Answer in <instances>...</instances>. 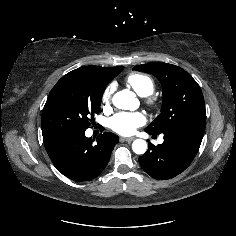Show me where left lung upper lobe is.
Masks as SVG:
<instances>
[{
    "label": "left lung upper lobe",
    "mask_w": 236,
    "mask_h": 236,
    "mask_svg": "<svg viewBox=\"0 0 236 236\" xmlns=\"http://www.w3.org/2000/svg\"><path fill=\"white\" fill-rule=\"evenodd\" d=\"M133 69L153 74L163 89L161 114L146 127L147 133L160 134L187 123H206L202 91L185 70L163 62L138 65Z\"/></svg>",
    "instance_id": "left-lung-upper-lobe-1"
}]
</instances>
